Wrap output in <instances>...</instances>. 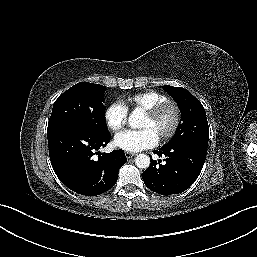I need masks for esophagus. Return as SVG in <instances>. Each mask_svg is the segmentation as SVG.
I'll return each instance as SVG.
<instances>
[{"mask_svg":"<svg viewBox=\"0 0 257 257\" xmlns=\"http://www.w3.org/2000/svg\"><path fill=\"white\" fill-rule=\"evenodd\" d=\"M134 155H135V153L128 152V151L125 152V156H126L127 159L132 158Z\"/></svg>","mask_w":257,"mask_h":257,"instance_id":"obj_1","label":"esophagus"}]
</instances>
